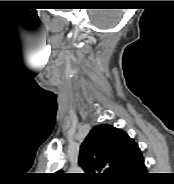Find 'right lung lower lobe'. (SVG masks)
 <instances>
[{
	"label": "right lung lower lobe",
	"instance_id": "98d812e1",
	"mask_svg": "<svg viewBox=\"0 0 174 184\" xmlns=\"http://www.w3.org/2000/svg\"><path fill=\"white\" fill-rule=\"evenodd\" d=\"M147 176L143 157L133 164L123 177L117 181L119 184H140Z\"/></svg>",
	"mask_w": 174,
	"mask_h": 184
}]
</instances>
